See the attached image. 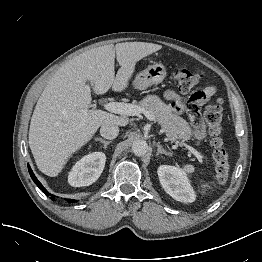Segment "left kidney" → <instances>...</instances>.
I'll return each mask as SVG.
<instances>
[{"label": "left kidney", "mask_w": 262, "mask_h": 262, "mask_svg": "<svg viewBox=\"0 0 262 262\" xmlns=\"http://www.w3.org/2000/svg\"><path fill=\"white\" fill-rule=\"evenodd\" d=\"M157 173L163 189L172 198L184 203L195 201V192L182 169L162 165L158 168Z\"/></svg>", "instance_id": "obj_1"}]
</instances>
